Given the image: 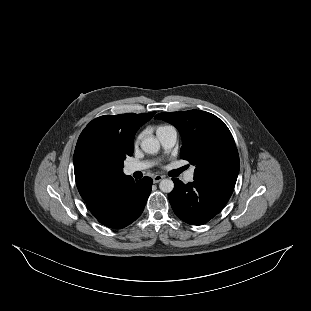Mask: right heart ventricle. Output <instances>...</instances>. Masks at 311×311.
<instances>
[{"instance_id": "e07e8e85", "label": "right heart ventricle", "mask_w": 311, "mask_h": 311, "mask_svg": "<svg viewBox=\"0 0 311 311\" xmlns=\"http://www.w3.org/2000/svg\"><path fill=\"white\" fill-rule=\"evenodd\" d=\"M167 128H173V127L170 126V125H161V126H158V127L156 128V131H157V133H158L159 131L165 130V129H167Z\"/></svg>"}]
</instances>
